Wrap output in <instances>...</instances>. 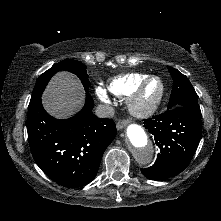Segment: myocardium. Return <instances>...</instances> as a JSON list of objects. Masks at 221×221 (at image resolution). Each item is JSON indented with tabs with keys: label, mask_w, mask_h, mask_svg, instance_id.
Returning <instances> with one entry per match:
<instances>
[{
	"label": "myocardium",
	"mask_w": 221,
	"mask_h": 221,
	"mask_svg": "<svg viewBox=\"0 0 221 221\" xmlns=\"http://www.w3.org/2000/svg\"><path fill=\"white\" fill-rule=\"evenodd\" d=\"M152 80H158L160 83V92L156 99L151 103H144L142 95L147 84ZM165 95V84L163 80L156 75H148L134 89L128 97L127 105L129 112L138 118L148 117L154 114L160 107Z\"/></svg>",
	"instance_id": "f54148a6"
}]
</instances>
